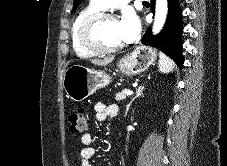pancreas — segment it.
<instances>
[{
    "mask_svg": "<svg viewBox=\"0 0 227 166\" xmlns=\"http://www.w3.org/2000/svg\"><path fill=\"white\" fill-rule=\"evenodd\" d=\"M127 91H129V90L125 89V90H123V91H121V92H118V93L115 95V99H116L117 101H120V100L125 99L126 96H127V95H126Z\"/></svg>",
    "mask_w": 227,
    "mask_h": 166,
    "instance_id": "obj_1",
    "label": "pancreas"
}]
</instances>
